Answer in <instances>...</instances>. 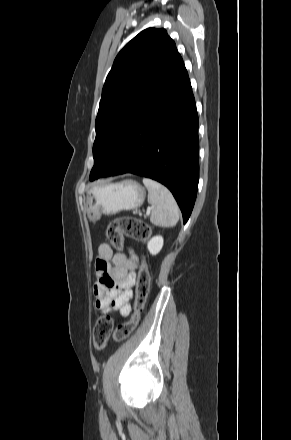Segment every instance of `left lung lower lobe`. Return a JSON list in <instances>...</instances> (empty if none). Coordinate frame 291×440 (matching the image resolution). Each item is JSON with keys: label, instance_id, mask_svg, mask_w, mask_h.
Segmentation results:
<instances>
[{"label": "left lung lower lobe", "instance_id": "obj_1", "mask_svg": "<svg viewBox=\"0 0 291 440\" xmlns=\"http://www.w3.org/2000/svg\"><path fill=\"white\" fill-rule=\"evenodd\" d=\"M198 155V115L182 62L98 178L132 173L164 184L174 195L186 223L197 195Z\"/></svg>", "mask_w": 291, "mask_h": 440}]
</instances>
